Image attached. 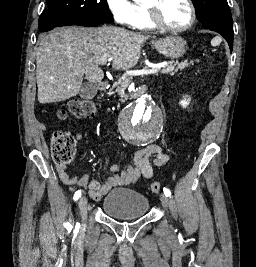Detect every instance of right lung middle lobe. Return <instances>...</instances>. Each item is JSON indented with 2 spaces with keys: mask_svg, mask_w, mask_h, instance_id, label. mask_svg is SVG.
<instances>
[{
  "mask_svg": "<svg viewBox=\"0 0 256 267\" xmlns=\"http://www.w3.org/2000/svg\"><path fill=\"white\" fill-rule=\"evenodd\" d=\"M112 21L107 0H47V8L39 19V29L45 32L70 22Z\"/></svg>",
  "mask_w": 256,
  "mask_h": 267,
  "instance_id": "right-lung-middle-lobe-1",
  "label": "right lung middle lobe"
}]
</instances>
